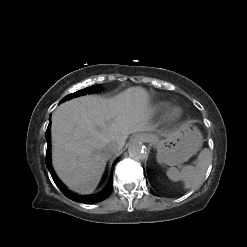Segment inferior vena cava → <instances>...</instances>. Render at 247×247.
Listing matches in <instances>:
<instances>
[{
	"mask_svg": "<svg viewBox=\"0 0 247 247\" xmlns=\"http://www.w3.org/2000/svg\"><path fill=\"white\" fill-rule=\"evenodd\" d=\"M105 148L106 151L110 154H116L121 150V147L115 142L108 143Z\"/></svg>",
	"mask_w": 247,
	"mask_h": 247,
	"instance_id": "602c4592",
	"label": "inferior vena cava"
}]
</instances>
